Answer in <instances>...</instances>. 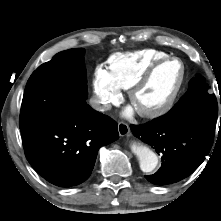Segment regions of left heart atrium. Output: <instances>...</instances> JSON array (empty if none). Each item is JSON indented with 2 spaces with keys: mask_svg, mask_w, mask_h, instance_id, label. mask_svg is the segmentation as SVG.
I'll use <instances>...</instances> for the list:
<instances>
[{
  "mask_svg": "<svg viewBox=\"0 0 221 221\" xmlns=\"http://www.w3.org/2000/svg\"><path fill=\"white\" fill-rule=\"evenodd\" d=\"M133 113H134V108L132 107H129L125 112L126 115H132Z\"/></svg>",
  "mask_w": 221,
  "mask_h": 221,
  "instance_id": "obj_1",
  "label": "left heart atrium"
}]
</instances>
